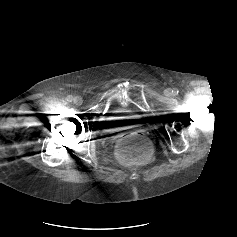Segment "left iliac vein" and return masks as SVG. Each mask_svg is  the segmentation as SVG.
I'll use <instances>...</instances> for the list:
<instances>
[{"label": "left iliac vein", "mask_w": 237, "mask_h": 237, "mask_svg": "<svg viewBox=\"0 0 237 237\" xmlns=\"http://www.w3.org/2000/svg\"><path fill=\"white\" fill-rule=\"evenodd\" d=\"M166 95H167V96L171 95V91H170V90H167V91H166Z\"/></svg>", "instance_id": "4c4485c4"}]
</instances>
